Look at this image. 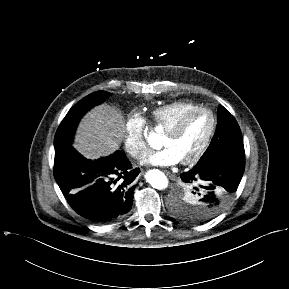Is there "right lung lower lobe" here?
Wrapping results in <instances>:
<instances>
[{"label":"right lung lower lobe","instance_id":"right-lung-lower-lobe-1","mask_svg":"<svg viewBox=\"0 0 289 289\" xmlns=\"http://www.w3.org/2000/svg\"><path fill=\"white\" fill-rule=\"evenodd\" d=\"M139 169L121 151L89 161L70 144L55 152L54 176L68 203L82 217L106 224L131 209Z\"/></svg>","mask_w":289,"mask_h":289}]
</instances>
